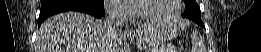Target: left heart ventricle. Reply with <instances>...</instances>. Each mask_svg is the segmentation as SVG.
Wrapping results in <instances>:
<instances>
[{"instance_id": "b2bd125f", "label": "left heart ventricle", "mask_w": 261, "mask_h": 52, "mask_svg": "<svg viewBox=\"0 0 261 52\" xmlns=\"http://www.w3.org/2000/svg\"><path fill=\"white\" fill-rule=\"evenodd\" d=\"M175 9V0H148L139 2L141 14L153 17L164 18L170 15Z\"/></svg>"}]
</instances>
